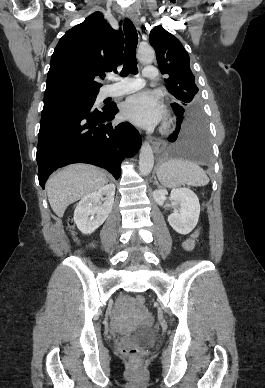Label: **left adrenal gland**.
<instances>
[{
  "instance_id": "left-adrenal-gland-1",
  "label": "left adrenal gland",
  "mask_w": 265,
  "mask_h": 388,
  "mask_svg": "<svg viewBox=\"0 0 265 388\" xmlns=\"http://www.w3.org/2000/svg\"><path fill=\"white\" fill-rule=\"evenodd\" d=\"M154 184H156V186H159V184H158L156 178H154ZM159 188H160V186H159Z\"/></svg>"
}]
</instances>
